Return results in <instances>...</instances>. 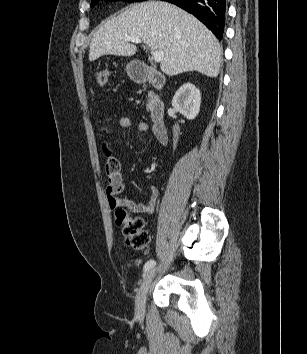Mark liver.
<instances>
[{
    "mask_svg": "<svg viewBox=\"0 0 307 354\" xmlns=\"http://www.w3.org/2000/svg\"><path fill=\"white\" fill-rule=\"evenodd\" d=\"M127 36L139 37L146 45L162 50L163 73L169 76L198 71L217 77L222 48L214 34L193 15L162 1L131 5L123 13L105 22L94 34L89 61L103 55L133 56L135 45Z\"/></svg>",
    "mask_w": 307,
    "mask_h": 354,
    "instance_id": "6515ba94",
    "label": "liver"
}]
</instances>
